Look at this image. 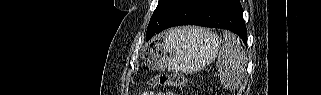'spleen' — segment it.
Listing matches in <instances>:
<instances>
[{
    "label": "spleen",
    "mask_w": 321,
    "mask_h": 95,
    "mask_svg": "<svg viewBox=\"0 0 321 95\" xmlns=\"http://www.w3.org/2000/svg\"><path fill=\"white\" fill-rule=\"evenodd\" d=\"M224 43L221 47L218 60V75L225 89H236L245 72L247 57L239 38L231 32L224 31Z\"/></svg>",
    "instance_id": "spleen-1"
}]
</instances>
